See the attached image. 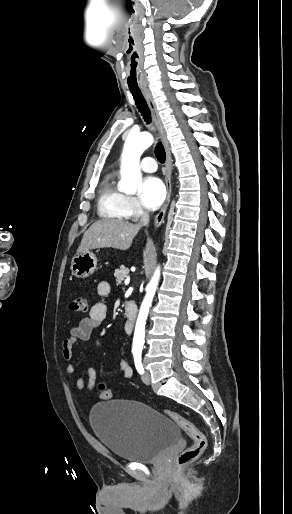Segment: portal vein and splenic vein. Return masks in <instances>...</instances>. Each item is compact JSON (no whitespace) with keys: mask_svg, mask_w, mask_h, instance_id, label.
Here are the masks:
<instances>
[{"mask_svg":"<svg viewBox=\"0 0 292 514\" xmlns=\"http://www.w3.org/2000/svg\"><path fill=\"white\" fill-rule=\"evenodd\" d=\"M129 282H130V280H125L124 284H126V286H127V284H129Z\"/></svg>","mask_w":292,"mask_h":514,"instance_id":"18ae733b","label":"portal vein and splenic vein"}]
</instances>
